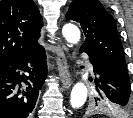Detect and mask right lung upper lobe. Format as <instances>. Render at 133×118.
Instances as JSON below:
<instances>
[{"instance_id":"right-lung-upper-lobe-1","label":"right lung upper lobe","mask_w":133,"mask_h":118,"mask_svg":"<svg viewBox=\"0 0 133 118\" xmlns=\"http://www.w3.org/2000/svg\"><path fill=\"white\" fill-rule=\"evenodd\" d=\"M42 18L33 0L0 1V65L40 46Z\"/></svg>"}]
</instances>
